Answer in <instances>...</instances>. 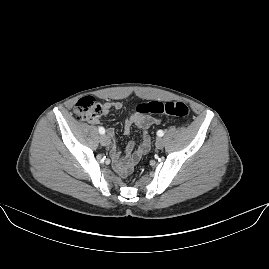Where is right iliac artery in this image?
Returning <instances> with one entry per match:
<instances>
[{"mask_svg": "<svg viewBox=\"0 0 269 269\" xmlns=\"http://www.w3.org/2000/svg\"><path fill=\"white\" fill-rule=\"evenodd\" d=\"M99 133L100 134H105V129L103 127H99Z\"/></svg>", "mask_w": 269, "mask_h": 269, "instance_id": "right-iliac-artery-1", "label": "right iliac artery"}]
</instances>
